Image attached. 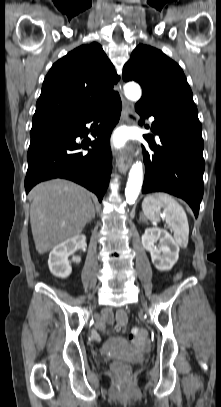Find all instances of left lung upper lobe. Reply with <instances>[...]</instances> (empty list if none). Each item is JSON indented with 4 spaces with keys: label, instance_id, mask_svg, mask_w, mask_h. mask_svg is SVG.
<instances>
[{
    "label": "left lung upper lobe",
    "instance_id": "left-lung-upper-lobe-1",
    "mask_svg": "<svg viewBox=\"0 0 221 407\" xmlns=\"http://www.w3.org/2000/svg\"><path fill=\"white\" fill-rule=\"evenodd\" d=\"M124 81H137L143 95L136 106L161 112L175 108L197 109L181 67L162 51L140 44L123 68Z\"/></svg>",
    "mask_w": 221,
    "mask_h": 407
}]
</instances>
